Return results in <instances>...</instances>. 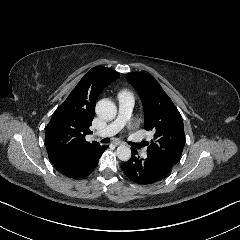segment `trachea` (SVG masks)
I'll list each match as a JSON object with an SVG mask.
<instances>
[{
    "instance_id": "3493384b",
    "label": "trachea",
    "mask_w": 240,
    "mask_h": 240,
    "mask_svg": "<svg viewBox=\"0 0 240 240\" xmlns=\"http://www.w3.org/2000/svg\"><path fill=\"white\" fill-rule=\"evenodd\" d=\"M109 142H110V138L109 137H106V138L101 140V143H104V144H107Z\"/></svg>"
}]
</instances>
